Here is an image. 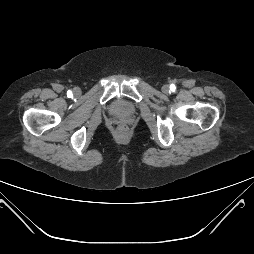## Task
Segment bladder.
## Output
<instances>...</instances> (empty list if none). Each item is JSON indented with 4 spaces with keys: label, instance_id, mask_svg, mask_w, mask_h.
Returning <instances> with one entry per match:
<instances>
[{
    "label": "bladder",
    "instance_id": "1",
    "mask_svg": "<svg viewBox=\"0 0 254 254\" xmlns=\"http://www.w3.org/2000/svg\"><path fill=\"white\" fill-rule=\"evenodd\" d=\"M110 111L116 116H130L135 112V107L125 99H116L111 104Z\"/></svg>",
    "mask_w": 254,
    "mask_h": 254
}]
</instances>
